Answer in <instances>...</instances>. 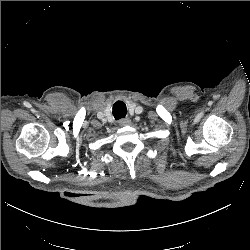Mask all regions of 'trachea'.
<instances>
[{"label": "trachea", "mask_w": 250, "mask_h": 250, "mask_svg": "<svg viewBox=\"0 0 250 250\" xmlns=\"http://www.w3.org/2000/svg\"><path fill=\"white\" fill-rule=\"evenodd\" d=\"M127 114V108L124 102L117 101L113 105V116L116 120H119L121 118H124Z\"/></svg>", "instance_id": "1"}]
</instances>
